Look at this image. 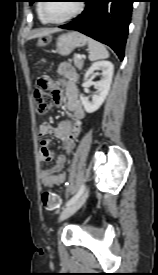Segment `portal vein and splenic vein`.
I'll return each mask as SVG.
<instances>
[{"label":"portal vein and splenic vein","instance_id":"1","mask_svg":"<svg viewBox=\"0 0 158 275\" xmlns=\"http://www.w3.org/2000/svg\"><path fill=\"white\" fill-rule=\"evenodd\" d=\"M76 57L79 58V59L82 58V56L80 54H77Z\"/></svg>","mask_w":158,"mask_h":275}]
</instances>
